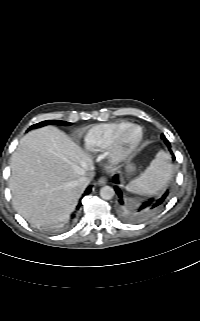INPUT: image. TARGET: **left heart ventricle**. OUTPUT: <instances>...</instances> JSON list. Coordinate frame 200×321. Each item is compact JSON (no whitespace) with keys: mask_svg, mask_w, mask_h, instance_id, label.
<instances>
[{"mask_svg":"<svg viewBox=\"0 0 200 321\" xmlns=\"http://www.w3.org/2000/svg\"><path fill=\"white\" fill-rule=\"evenodd\" d=\"M140 131L138 129H133L129 132L127 136V142L131 143L139 137Z\"/></svg>","mask_w":200,"mask_h":321,"instance_id":"obj_1","label":"left heart ventricle"}]
</instances>
